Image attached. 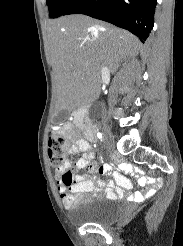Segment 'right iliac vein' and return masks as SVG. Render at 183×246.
Wrapping results in <instances>:
<instances>
[{"instance_id": "1", "label": "right iliac vein", "mask_w": 183, "mask_h": 246, "mask_svg": "<svg viewBox=\"0 0 183 246\" xmlns=\"http://www.w3.org/2000/svg\"><path fill=\"white\" fill-rule=\"evenodd\" d=\"M102 131H103L104 139L107 142L108 146L112 147V133L107 124L103 123Z\"/></svg>"}]
</instances>
